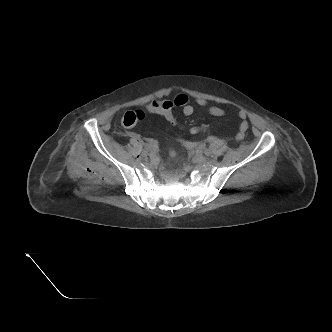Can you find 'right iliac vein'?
I'll list each match as a JSON object with an SVG mask.
<instances>
[{
	"label": "right iliac vein",
	"mask_w": 332,
	"mask_h": 332,
	"mask_svg": "<svg viewBox=\"0 0 332 332\" xmlns=\"http://www.w3.org/2000/svg\"><path fill=\"white\" fill-rule=\"evenodd\" d=\"M153 153H154L153 150H144V151L142 152V154H143L144 156L152 155Z\"/></svg>",
	"instance_id": "1"
}]
</instances>
